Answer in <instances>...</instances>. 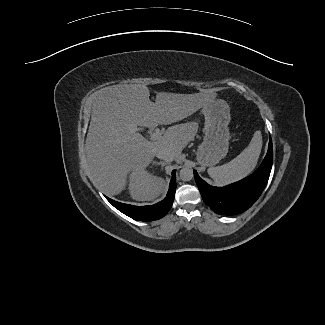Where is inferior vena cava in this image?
I'll use <instances>...</instances> for the list:
<instances>
[{
	"label": "inferior vena cava",
	"mask_w": 325,
	"mask_h": 325,
	"mask_svg": "<svg viewBox=\"0 0 325 325\" xmlns=\"http://www.w3.org/2000/svg\"><path fill=\"white\" fill-rule=\"evenodd\" d=\"M156 156L159 159L165 160L166 162H171L175 159V155L173 152L167 149H160L157 153Z\"/></svg>",
	"instance_id": "1"
}]
</instances>
